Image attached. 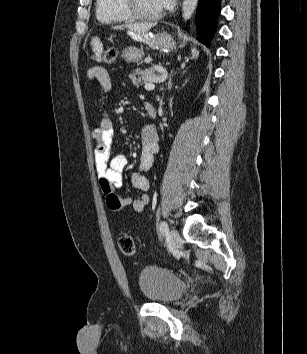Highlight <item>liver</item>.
Listing matches in <instances>:
<instances>
[{
	"instance_id": "obj_1",
	"label": "liver",
	"mask_w": 307,
	"mask_h": 354,
	"mask_svg": "<svg viewBox=\"0 0 307 354\" xmlns=\"http://www.w3.org/2000/svg\"><path fill=\"white\" fill-rule=\"evenodd\" d=\"M153 26H154V24H150V23H134V24H125V25L115 26V27H113V29H115V30L128 29L133 33L142 34V33H146Z\"/></svg>"
}]
</instances>
